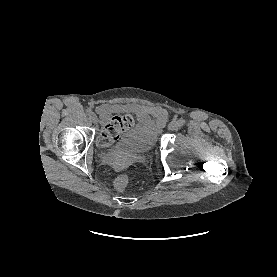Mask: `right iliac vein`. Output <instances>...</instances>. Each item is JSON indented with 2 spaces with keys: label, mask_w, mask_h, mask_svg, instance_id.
Instances as JSON below:
<instances>
[{
  "label": "right iliac vein",
  "mask_w": 277,
  "mask_h": 277,
  "mask_svg": "<svg viewBox=\"0 0 277 277\" xmlns=\"http://www.w3.org/2000/svg\"><path fill=\"white\" fill-rule=\"evenodd\" d=\"M90 119H91V121H92L94 124H97L98 118H97V115H96V114L92 113V114L90 115Z\"/></svg>",
  "instance_id": "right-iliac-vein-1"
}]
</instances>
